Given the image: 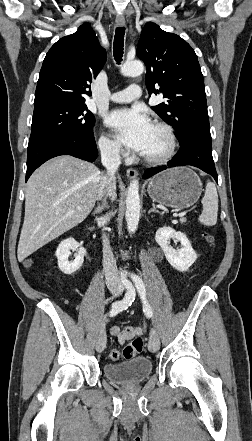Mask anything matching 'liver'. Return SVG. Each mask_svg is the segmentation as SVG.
Wrapping results in <instances>:
<instances>
[{
  "label": "liver",
  "mask_w": 252,
  "mask_h": 441,
  "mask_svg": "<svg viewBox=\"0 0 252 441\" xmlns=\"http://www.w3.org/2000/svg\"><path fill=\"white\" fill-rule=\"evenodd\" d=\"M103 177L94 164L69 155L40 166L26 186L18 260L83 222L98 199ZM113 191L116 195V182Z\"/></svg>",
  "instance_id": "1"
}]
</instances>
